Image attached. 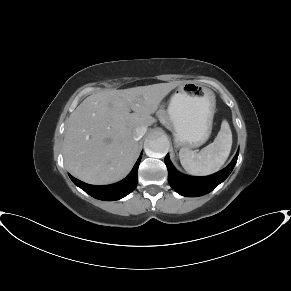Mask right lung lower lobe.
Segmentation results:
<instances>
[{"instance_id": "98d812e1", "label": "right lung lower lobe", "mask_w": 291, "mask_h": 291, "mask_svg": "<svg viewBox=\"0 0 291 291\" xmlns=\"http://www.w3.org/2000/svg\"><path fill=\"white\" fill-rule=\"evenodd\" d=\"M141 160V155L139 159L137 160L135 166L133 167L132 171L130 174L123 179L122 181L112 184V185H107V186H94V185H89L84 182H81L74 177L70 175L71 180L74 182L75 185L80 187L82 190H84L86 193L91 195L92 197L100 200H105V201H114L121 199L131 193L138 182V177H137V172H138V167L140 164Z\"/></svg>"}]
</instances>
